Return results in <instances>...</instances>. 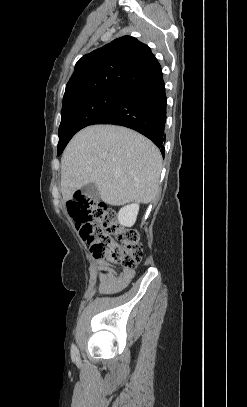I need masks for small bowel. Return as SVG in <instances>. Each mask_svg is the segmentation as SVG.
<instances>
[{
	"mask_svg": "<svg viewBox=\"0 0 247 407\" xmlns=\"http://www.w3.org/2000/svg\"><path fill=\"white\" fill-rule=\"evenodd\" d=\"M104 271L105 273H103ZM134 269H122L118 271L113 265L105 260H97L96 275L100 280L98 290L100 293H115L124 289L135 276Z\"/></svg>",
	"mask_w": 247,
	"mask_h": 407,
	"instance_id": "small-bowel-1",
	"label": "small bowel"
}]
</instances>
